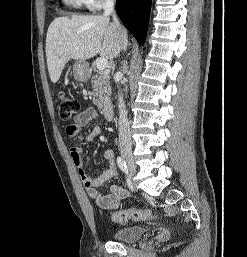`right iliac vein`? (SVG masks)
Listing matches in <instances>:
<instances>
[{
    "mask_svg": "<svg viewBox=\"0 0 247 257\" xmlns=\"http://www.w3.org/2000/svg\"><path fill=\"white\" fill-rule=\"evenodd\" d=\"M121 153L124 161L127 164V170H128L129 176L133 177L136 172V166H135L132 153L128 149H122Z\"/></svg>",
    "mask_w": 247,
    "mask_h": 257,
    "instance_id": "63e3f726",
    "label": "right iliac vein"
}]
</instances>
